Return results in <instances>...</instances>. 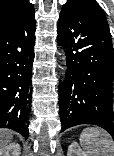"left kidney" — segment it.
<instances>
[{"label":"left kidney","mask_w":114,"mask_h":156,"mask_svg":"<svg viewBox=\"0 0 114 156\" xmlns=\"http://www.w3.org/2000/svg\"><path fill=\"white\" fill-rule=\"evenodd\" d=\"M67 156H86L78 143L72 142L68 148Z\"/></svg>","instance_id":"5707ae66"}]
</instances>
